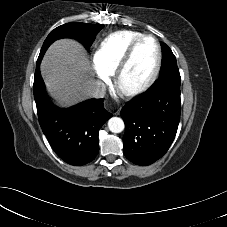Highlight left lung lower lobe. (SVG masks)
<instances>
[{
	"instance_id": "left-lung-lower-lobe-1",
	"label": "left lung lower lobe",
	"mask_w": 227,
	"mask_h": 227,
	"mask_svg": "<svg viewBox=\"0 0 227 227\" xmlns=\"http://www.w3.org/2000/svg\"><path fill=\"white\" fill-rule=\"evenodd\" d=\"M180 88L153 85L121 110L125 123L124 155L137 165H149L171 146L180 121Z\"/></svg>"
}]
</instances>
